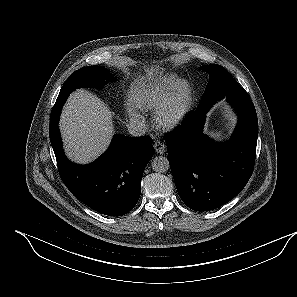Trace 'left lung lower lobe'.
Here are the masks:
<instances>
[{"label": "left lung lower lobe", "mask_w": 297, "mask_h": 297, "mask_svg": "<svg viewBox=\"0 0 297 297\" xmlns=\"http://www.w3.org/2000/svg\"><path fill=\"white\" fill-rule=\"evenodd\" d=\"M239 119L229 142L219 145L203 133L209 103L189 113L184 123L165 136L169 163L183 202L196 211L216 209L238 195L255 163L258 120L249 96L227 97Z\"/></svg>", "instance_id": "0a47b994"}]
</instances>
